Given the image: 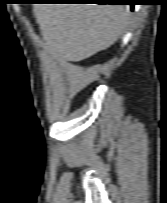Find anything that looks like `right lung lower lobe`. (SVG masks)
<instances>
[{"label":"right lung lower lobe","mask_w":167,"mask_h":203,"mask_svg":"<svg viewBox=\"0 0 167 203\" xmlns=\"http://www.w3.org/2000/svg\"><path fill=\"white\" fill-rule=\"evenodd\" d=\"M112 1L124 2L125 0H112ZM119 2H100V3H119ZM124 3H126V2H124ZM112 5H122V4H112ZM128 5H131V10L133 11L135 4L131 1L130 4H128Z\"/></svg>","instance_id":"right-lung-lower-lobe-1"}]
</instances>
